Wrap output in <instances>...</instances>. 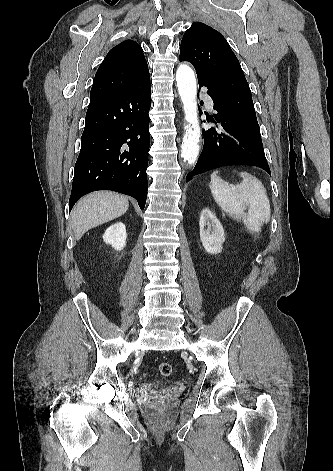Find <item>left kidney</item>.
<instances>
[{"mask_svg":"<svg viewBox=\"0 0 333 471\" xmlns=\"http://www.w3.org/2000/svg\"><path fill=\"white\" fill-rule=\"evenodd\" d=\"M206 226L207 229L205 228ZM199 227L200 240L206 252L210 254L222 252V244L225 241L224 230L220 221L209 208L202 210Z\"/></svg>","mask_w":333,"mask_h":471,"instance_id":"obj_1","label":"left kidney"}]
</instances>
